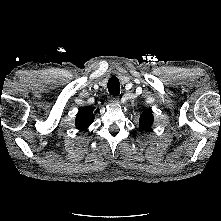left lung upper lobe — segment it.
Returning a JSON list of instances; mask_svg holds the SVG:
<instances>
[{
    "mask_svg": "<svg viewBox=\"0 0 221 221\" xmlns=\"http://www.w3.org/2000/svg\"><path fill=\"white\" fill-rule=\"evenodd\" d=\"M154 117L150 111H145L141 114L139 120V129L140 130H147L153 124Z\"/></svg>",
    "mask_w": 221,
    "mask_h": 221,
    "instance_id": "5c2ea615",
    "label": "left lung upper lobe"
}]
</instances>
